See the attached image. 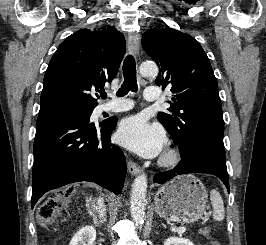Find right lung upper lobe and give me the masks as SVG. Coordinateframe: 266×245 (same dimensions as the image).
Returning a JSON list of instances; mask_svg holds the SVG:
<instances>
[{"mask_svg":"<svg viewBox=\"0 0 266 245\" xmlns=\"http://www.w3.org/2000/svg\"><path fill=\"white\" fill-rule=\"evenodd\" d=\"M125 39L114 26L80 29L59 46L43 82L37 121L94 109L91 92L110 83L125 53Z\"/></svg>","mask_w":266,"mask_h":245,"instance_id":"cb5924a9","label":"right lung upper lobe"}]
</instances>
